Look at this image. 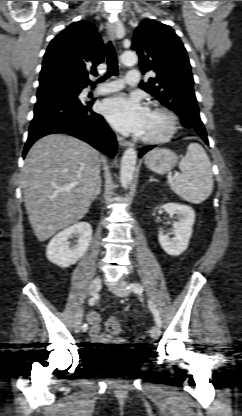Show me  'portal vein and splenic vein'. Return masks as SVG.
I'll use <instances>...</instances> for the list:
<instances>
[{"instance_id":"portal-vein-and-splenic-vein-1","label":"portal vein and splenic vein","mask_w":242,"mask_h":416,"mask_svg":"<svg viewBox=\"0 0 242 416\" xmlns=\"http://www.w3.org/2000/svg\"><path fill=\"white\" fill-rule=\"evenodd\" d=\"M176 177H177V175H175L174 177H169V181H172Z\"/></svg>"}]
</instances>
